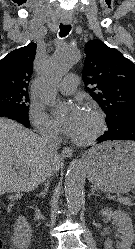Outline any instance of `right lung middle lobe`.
Here are the masks:
<instances>
[{
	"instance_id": "obj_1",
	"label": "right lung middle lobe",
	"mask_w": 135,
	"mask_h": 249,
	"mask_svg": "<svg viewBox=\"0 0 135 249\" xmlns=\"http://www.w3.org/2000/svg\"><path fill=\"white\" fill-rule=\"evenodd\" d=\"M29 96L27 91H0V106L10 107L28 115Z\"/></svg>"
}]
</instances>
